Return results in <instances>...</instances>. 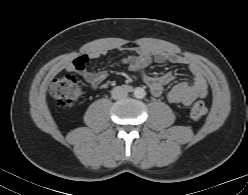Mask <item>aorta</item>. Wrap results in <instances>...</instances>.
Segmentation results:
<instances>
[{"label": "aorta", "instance_id": "1", "mask_svg": "<svg viewBox=\"0 0 248 195\" xmlns=\"http://www.w3.org/2000/svg\"><path fill=\"white\" fill-rule=\"evenodd\" d=\"M145 95H146V92H145V90L143 88H141V87L135 88V90H134V96L136 98L142 99V98L145 97Z\"/></svg>", "mask_w": 248, "mask_h": 195}]
</instances>
